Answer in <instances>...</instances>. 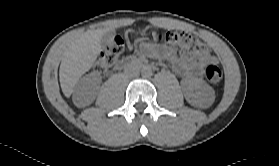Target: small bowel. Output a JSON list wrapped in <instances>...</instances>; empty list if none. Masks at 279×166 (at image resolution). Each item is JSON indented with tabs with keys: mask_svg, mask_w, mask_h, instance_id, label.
Instances as JSON below:
<instances>
[{
	"mask_svg": "<svg viewBox=\"0 0 279 166\" xmlns=\"http://www.w3.org/2000/svg\"><path fill=\"white\" fill-rule=\"evenodd\" d=\"M143 52L156 57H166L169 55L166 50L152 49L150 47H144ZM171 60L174 69L183 76L197 75L207 64L214 63L216 61L215 58L208 53L200 55L198 60H194L188 56L180 58L172 57Z\"/></svg>",
	"mask_w": 279,
	"mask_h": 166,
	"instance_id": "c3829d8e",
	"label": "small bowel"
}]
</instances>
